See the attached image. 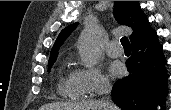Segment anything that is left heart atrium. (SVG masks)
<instances>
[{
    "mask_svg": "<svg viewBox=\"0 0 171 110\" xmlns=\"http://www.w3.org/2000/svg\"><path fill=\"white\" fill-rule=\"evenodd\" d=\"M123 68L120 63L118 62H113L109 65V73L114 76L118 77L122 74Z\"/></svg>",
    "mask_w": 171,
    "mask_h": 110,
    "instance_id": "left-heart-atrium-1",
    "label": "left heart atrium"
}]
</instances>
